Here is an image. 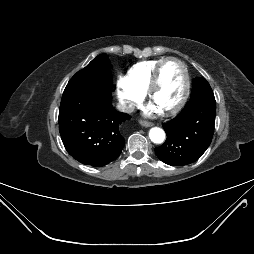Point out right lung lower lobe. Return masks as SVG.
<instances>
[{"mask_svg":"<svg viewBox=\"0 0 254 254\" xmlns=\"http://www.w3.org/2000/svg\"><path fill=\"white\" fill-rule=\"evenodd\" d=\"M131 117L116 111L110 92L87 88L64 90L59 109V131L68 153L84 165L104 166L124 147L121 125Z\"/></svg>","mask_w":254,"mask_h":254,"instance_id":"98d812e1","label":"right lung lower lobe"}]
</instances>
